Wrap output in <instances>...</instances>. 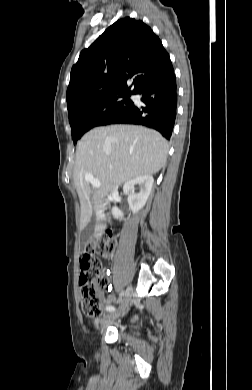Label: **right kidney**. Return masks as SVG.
<instances>
[{"label": "right kidney", "instance_id": "obj_1", "mask_svg": "<svg viewBox=\"0 0 252 390\" xmlns=\"http://www.w3.org/2000/svg\"><path fill=\"white\" fill-rule=\"evenodd\" d=\"M154 179L151 175H144L136 177L123 186V192L128 194V204L132 213L135 214L141 210L150 195ZM135 186H139V193H135ZM112 215L115 219H123V212L117 207L112 208Z\"/></svg>", "mask_w": 252, "mask_h": 390}]
</instances>
